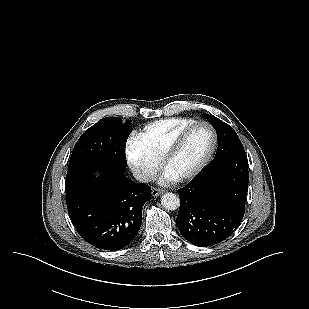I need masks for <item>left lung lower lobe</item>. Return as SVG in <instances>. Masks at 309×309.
I'll return each instance as SVG.
<instances>
[{
	"mask_svg": "<svg viewBox=\"0 0 309 309\" xmlns=\"http://www.w3.org/2000/svg\"><path fill=\"white\" fill-rule=\"evenodd\" d=\"M248 181L245 150L214 159L178 190L176 224L182 236L199 247L228 238L243 219Z\"/></svg>",
	"mask_w": 309,
	"mask_h": 309,
	"instance_id": "0a47b994",
	"label": "left lung lower lobe"
}]
</instances>
